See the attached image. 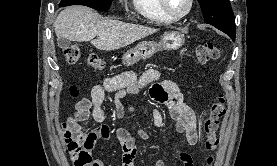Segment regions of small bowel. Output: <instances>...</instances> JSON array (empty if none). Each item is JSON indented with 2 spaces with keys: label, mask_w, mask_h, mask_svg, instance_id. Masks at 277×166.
Masks as SVG:
<instances>
[{
  "label": "small bowel",
  "mask_w": 277,
  "mask_h": 166,
  "mask_svg": "<svg viewBox=\"0 0 277 166\" xmlns=\"http://www.w3.org/2000/svg\"><path fill=\"white\" fill-rule=\"evenodd\" d=\"M159 78L160 73L156 69H148L141 75L125 71L104 78L92 88L89 98H83L76 104L74 115L69 119V122L79 124L91 115L98 124L96 128L85 133L81 144L82 151L92 159L89 166H104L102 160L93 159L91 154L98 140L111 139L109 127L103 124L105 115L102 105L107 93H114L116 115L121 119L126 112L133 113L135 110L131 104L125 108L121 100L129 94H138L143 88L150 86L149 95L151 99L166 106L170 117L175 122L177 131L185 136L187 144L194 146L198 142L196 116L192 109L184 103L179 87L172 80L159 81ZM152 117L155 126L161 127L164 124V115L160 110H155ZM116 138L122 149V166H135L136 138L148 140L150 134L143 129H137L132 133L127 129L118 128ZM178 157L183 166H194L193 152L181 151ZM153 166H166V164L163 160L158 159Z\"/></svg>",
  "instance_id": "1"
}]
</instances>
